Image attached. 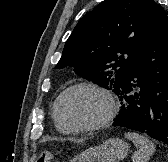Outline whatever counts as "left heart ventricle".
I'll return each instance as SVG.
<instances>
[{"instance_id": "1", "label": "left heart ventricle", "mask_w": 168, "mask_h": 162, "mask_svg": "<svg viewBox=\"0 0 168 162\" xmlns=\"http://www.w3.org/2000/svg\"><path fill=\"white\" fill-rule=\"evenodd\" d=\"M108 110L106 99L89 89H78L67 94L60 105L63 120L74 126L89 125L104 118Z\"/></svg>"}]
</instances>
